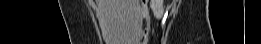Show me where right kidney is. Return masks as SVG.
Listing matches in <instances>:
<instances>
[{
    "label": "right kidney",
    "mask_w": 261,
    "mask_h": 44,
    "mask_svg": "<svg viewBox=\"0 0 261 44\" xmlns=\"http://www.w3.org/2000/svg\"><path fill=\"white\" fill-rule=\"evenodd\" d=\"M150 8L152 9L154 16L160 19L164 13L163 0H151Z\"/></svg>",
    "instance_id": "obj_1"
}]
</instances>
